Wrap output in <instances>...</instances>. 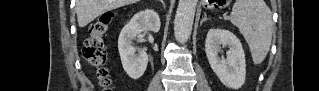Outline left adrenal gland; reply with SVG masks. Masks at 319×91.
Here are the masks:
<instances>
[{
    "mask_svg": "<svg viewBox=\"0 0 319 91\" xmlns=\"http://www.w3.org/2000/svg\"><path fill=\"white\" fill-rule=\"evenodd\" d=\"M207 20H209V19L207 18V14L204 13V17H203V19L201 20V24H202L203 22L207 21Z\"/></svg>",
    "mask_w": 319,
    "mask_h": 91,
    "instance_id": "left-adrenal-gland-1",
    "label": "left adrenal gland"
}]
</instances>
